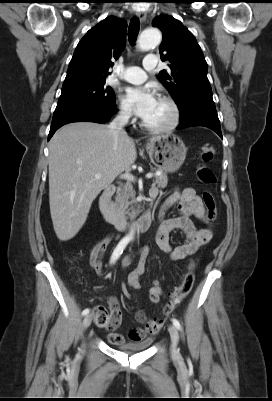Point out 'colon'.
<instances>
[{
	"label": "colon",
	"instance_id": "colon-1",
	"mask_svg": "<svg viewBox=\"0 0 272 401\" xmlns=\"http://www.w3.org/2000/svg\"><path fill=\"white\" fill-rule=\"evenodd\" d=\"M215 154V149L213 146L204 145L201 147L200 151V164L197 168V174L200 181L206 185H213L216 182V176L213 170L208 166L212 161ZM203 203L206 208V220L211 223L214 221L216 216V204L214 195L210 191H205L202 195ZM193 275L188 274L184 281L176 288V290L171 294L168 302L166 303L163 313L164 317L156 319L154 323H162L166 316H168L174 308L181 302V300L190 292L193 285ZM142 320L144 318L140 317ZM94 319L96 324L103 327H108L112 322V314L109 309L105 307H100L94 311Z\"/></svg>",
	"mask_w": 272,
	"mask_h": 401
}]
</instances>
